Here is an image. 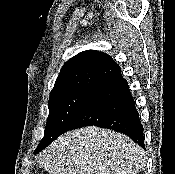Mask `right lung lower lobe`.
<instances>
[{
    "label": "right lung lower lobe",
    "instance_id": "right-lung-lower-lobe-1",
    "mask_svg": "<svg viewBox=\"0 0 175 174\" xmlns=\"http://www.w3.org/2000/svg\"><path fill=\"white\" fill-rule=\"evenodd\" d=\"M85 126L121 132L145 148L143 126L128 83L120 71L102 81L89 93L65 132ZM44 148H38L36 152Z\"/></svg>",
    "mask_w": 175,
    "mask_h": 174
}]
</instances>
